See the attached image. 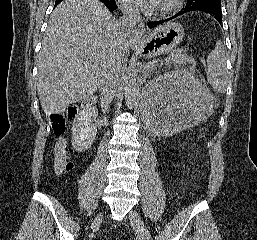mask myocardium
I'll return each mask as SVG.
<instances>
[{
	"label": "myocardium",
	"mask_w": 257,
	"mask_h": 240,
	"mask_svg": "<svg viewBox=\"0 0 257 240\" xmlns=\"http://www.w3.org/2000/svg\"><path fill=\"white\" fill-rule=\"evenodd\" d=\"M182 0H169L168 3L162 7H159L157 14L160 16L169 15L180 8Z\"/></svg>",
	"instance_id": "myocardium-1"
}]
</instances>
